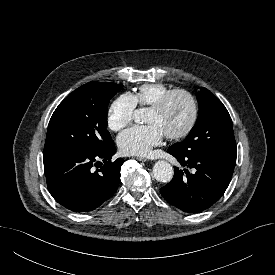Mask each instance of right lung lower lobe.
<instances>
[{"mask_svg": "<svg viewBox=\"0 0 275 275\" xmlns=\"http://www.w3.org/2000/svg\"><path fill=\"white\" fill-rule=\"evenodd\" d=\"M114 142L101 152L45 150L43 152L47 187L52 197L73 212L98 208L118 188L122 158L111 161ZM100 161L104 162V165ZM100 164V169L94 166Z\"/></svg>", "mask_w": 275, "mask_h": 275, "instance_id": "obj_1", "label": "right lung lower lobe"}]
</instances>
